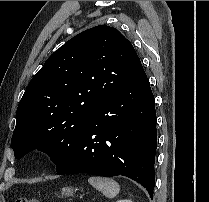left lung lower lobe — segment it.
I'll return each mask as SVG.
<instances>
[{
  "instance_id": "left-lung-lower-lobe-1",
  "label": "left lung lower lobe",
  "mask_w": 209,
  "mask_h": 202,
  "mask_svg": "<svg viewBox=\"0 0 209 202\" xmlns=\"http://www.w3.org/2000/svg\"><path fill=\"white\" fill-rule=\"evenodd\" d=\"M156 123L155 99L143 70L88 114L81 139L57 174L123 175L153 198Z\"/></svg>"
}]
</instances>
